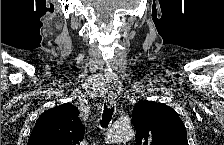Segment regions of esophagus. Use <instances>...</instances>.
Returning <instances> with one entry per match:
<instances>
[{
    "mask_svg": "<svg viewBox=\"0 0 224 145\" xmlns=\"http://www.w3.org/2000/svg\"><path fill=\"white\" fill-rule=\"evenodd\" d=\"M116 94L114 91H110L108 95V106L111 107L113 105Z\"/></svg>",
    "mask_w": 224,
    "mask_h": 145,
    "instance_id": "1",
    "label": "esophagus"
}]
</instances>
